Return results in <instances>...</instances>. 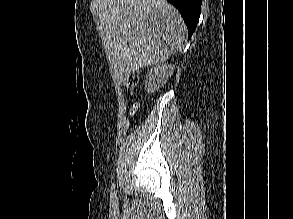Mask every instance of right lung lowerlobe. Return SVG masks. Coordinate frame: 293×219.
Wrapping results in <instances>:
<instances>
[{"label":"right lung lower lobe","instance_id":"right-lung-lower-lobe-1","mask_svg":"<svg viewBox=\"0 0 293 219\" xmlns=\"http://www.w3.org/2000/svg\"><path fill=\"white\" fill-rule=\"evenodd\" d=\"M180 12L188 28V39L191 38L201 13L202 0H167Z\"/></svg>","mask_w":293,"mask_h":219}]
</instances>
